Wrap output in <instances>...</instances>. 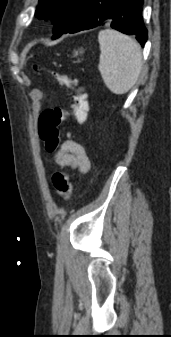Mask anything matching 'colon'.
<instances>
[{
	"label": "colon",
	"instance_id": "colon-1",
	"mask_svg": "<svg viewBox=\"0 0 171 337\" xmlns=\"http://www.w3.org/2000/svg\"><path fill=\"white\" fill-rule=\"evenodd\" d=\"M50 76L57 86L67 89L71 103L67 109L61 107L45 109L38 119V135L44 142L45 149L55 153L61 142L60 126L70 119L79 123L84 122L88 111V99L85 88L77 81L57 72H50ZM52 182L57 194L63 200H68L72 192L70 176L64 171H59L53 175Z\"/></svg>",
	"mask_w": 171,
	"mask_h": 337
}]
</instances>
